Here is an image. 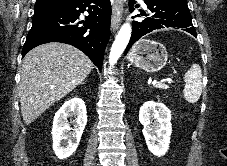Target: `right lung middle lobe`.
<instances>
[{"mask_svg":"<svg viewBox=\"0 0 227 166\" xmlns=\"http://www.w3.org/2000/svg\"><path fill=\"white\" fill-rule=\"evenodd\" d=\"M59 6H35L34 15L46 12Z\"/></svg>","mask_w":227,"mask_h":166,"instance_id":"dd1d6c3e","label":"right lung middle lobe"}]
</instances>
